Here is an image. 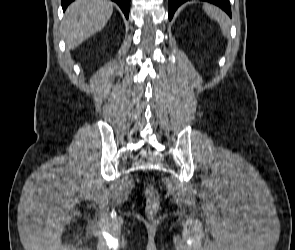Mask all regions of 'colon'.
<instances>
[{
	"mask_svg": "<svg viewBox=\"0 0 295 250\" xmlns=\"http://www.w3.org/2000/svg\"><path fill=\"white\" fill-rule=\"evenodd\" d=\"M146 214L154 216L158 211L160 199L158 192L153 187H148L146 190Z\"/></svg>",
	"mask_w": 295,
	"mask_h": 250,
	"instance_id": "5ec220e1",
	"label": "colon"
}]
</instances>
